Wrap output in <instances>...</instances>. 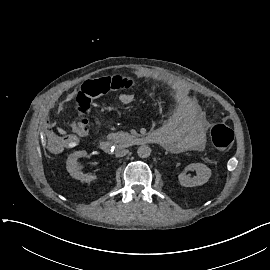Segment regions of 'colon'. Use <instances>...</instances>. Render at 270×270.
<instances>
[{
	"mask_svg": "<svg viewBox=\"0 0 270 270\" xmlns=\"http://www.w3.org/2000/svg\"><path fill=\"white\" fill-rule=\"evenodd\" d=\"M137 87V83L128 77L111 75L99 78L96 82H86L77 92L73 107L77 114L72 121V127L78 134L88 132V116L93 107V102L98 96L110 90H127ZM211 140L213 145L219 150H226L234 140V132L224 123H218L211 128Z\"/></svg>",
	"mask_w": 270,
	"mask_h": 270,
	"instance_id": "5ec220e1",
	"label": "colon"
}]
</instances>
